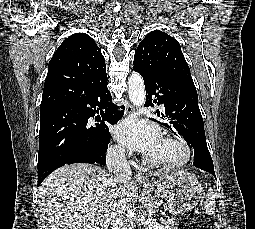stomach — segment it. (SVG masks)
<instances>
[{
	"mask_svg": "<svg viewBox=\"0 0 255 229\" xmlns=\"http://www.w3.org/2000/svg\"><path fill=\"white\" fill-rule=\"evenodd\" d=\"M156 196L164 198L170 213L184 214L198 204L202 187L195 175L187 171H176L154 188Z\"/></svg>",
	"mask_w": 255,
	"mask_h": 229,
	"instance_id": "obj_1",
	"label": "stomach"
}]
</instances>
